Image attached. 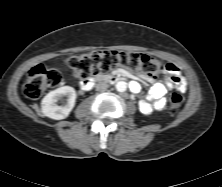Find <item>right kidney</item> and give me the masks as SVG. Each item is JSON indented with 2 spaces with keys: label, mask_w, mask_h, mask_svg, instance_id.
<instances>
[{
  "label": "right kidney",
  "mask_w": 222,
  "mask_h": 187,
  "mask_svg": "<svg viewBox=\"0 0 222 187\" xmlns=\"http://www.w3.org/2000/svg\"><path fill=\"white\" fill-rule=\"evenodd\" d=\"M63 97H67L66 103L62 106L57 102ZM76 100V91L73 87L63 86L49 92L41 102L42 113L54 120H61L68 117L72 111Z\"/></svg>",
  "instance_id": "ca27d5eb"
}]
</instances>
